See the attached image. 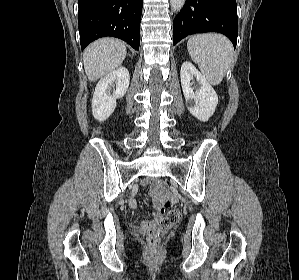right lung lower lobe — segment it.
<instances>
[{
	"instance_id": "obj_1",
	"label": "right lung lower lobe",
	"mask_w": 299,
	"mask_h": 280,
	"mask_svg": "<svg viewBox=\"0 0 299 280\" xmlns=\"http://www.w3.org/2000/svg\"><path fill=\"white\" fill-rule=\"evenodd\" d=\"M78 5L82 50L105 36L120 38L139 50L142 0H78Z\"/></svg>"
}]
</instances>
